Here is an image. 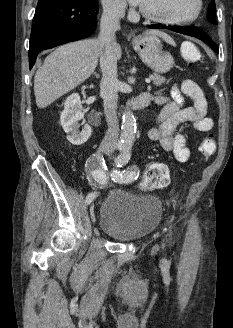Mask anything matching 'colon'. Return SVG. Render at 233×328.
Masks as SVG:
<instances>
[{
    "instance_id": "1",
    "label": "colon",
    "mask_w": 233,
    "mask_h": 328,
    "mask_svg": "<svg viewBox=\"0 0 233 328\" xmlns=\"http://www.w3.org/2000/svg\"><path fill=\"white\" fill-rule=\"evenodd\" d=\"M183 57L190 62L200 59L197 47L192 43H186L182 47ZM200 153L205 161L209 160L216 150V144L212 138L205 139L200 145ZM170 180L169 170L162 163H151L144 172L140 188L145 191L160 189L168 185Z\"/></svg>"
}]
</instances>
